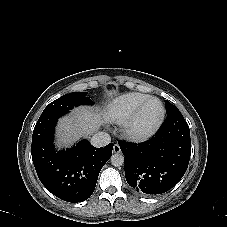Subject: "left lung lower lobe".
<instances>
[{
	"label": "left lung lower lobe",
	"instance_id": "obj_1",
	"mask_svg": "<svg viewBox=\"0 0 227 227\" xmlns=\"http://www.w3.org/2000/svg\"><path fill=\"white\" fill-rule=\"evenodd\" d=\"M119 145L127 183L141 195L155 196L172 189L185 174L191 155L190 129L176 107L149 140Z\"/></svg>",
	"mask_w": 227,
	"mask_h": 227
}]
</instances>
